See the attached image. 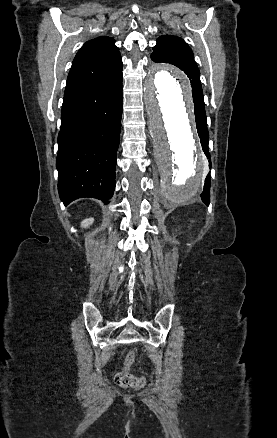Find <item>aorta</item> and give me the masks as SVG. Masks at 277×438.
<instances>
[{
  "label": "aorta",
  "mask_w": 277,
  "mask_h": 438,
  "mask_svg": "<svg viewBox=\"0 0 277 438\" xmlns=\"http://www.w3.org/2000/svg\"><path fill=\"white\" fill-rule=\"evenodd\" d=\"M144 89L161 171V194L169 202H185L200 190L207 168L195 127L190 83L181 71L153 65Z\"/></svg>",
  "instance_id": "1"
}]
</instances>
